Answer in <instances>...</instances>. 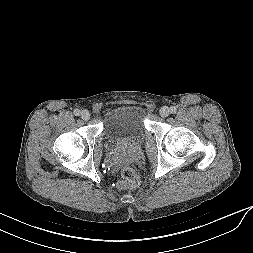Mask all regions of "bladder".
<instances>
[{"instance_id": "obj_1", "label": "bladder", "mask_w": 253, "mask_h": 253, "mask_svg": "<svg viewBox=\"0 0 253 253\" xmlns=\"http://www.w3.org/2000/svg\"><path fill=\"white\" fill-rule=\"evenodd\" d=\"M146 112L138 104L112 108L103 120V132L109 142L128 145L139 142L146 133Z\"/></svg>"}]
</instances>
